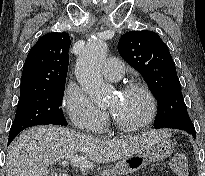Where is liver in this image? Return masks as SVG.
I'll use <instances>...</instances> for the list:
<instances>
[{
  "label": "liver",
  "mask_w": 205,
  "mask_h": 176,
  "mask_svg": "<svg viewBox=\"0 0 205 176\" xmlns=\"http://www.w3.org/2000/svg\"><path fill=\"white\" fill-rule=\"evenodd\" d=\"M167 135L164 130H153L109 140L62 127H34L22 132L7 149L6 176H48L47 167L63 160H70L74 167L93 169L95 163H110L139 153Z\"/></svg>",
  "instance_id": "1"
}]
</instances>
